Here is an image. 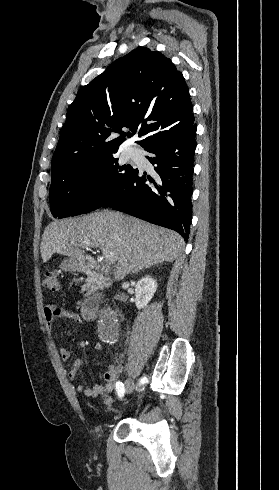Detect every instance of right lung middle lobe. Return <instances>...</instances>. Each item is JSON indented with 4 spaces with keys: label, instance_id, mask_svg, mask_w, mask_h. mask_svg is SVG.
I'll list each match as a JSON object with an SVG mask.
<instances>
[{
    "label": "right lung middle lobe",
    "instance_id": "1",
    "mask_svg": "<svg viewBox=\"0 0 279 490\" xmlns=\"http://www.w3.org/2000/svg\"><path fill=\"white\" fill-rule=\"evenodd\" d=\"M116 150L79 165L69 174L52 179L49 198L52 215L64 218L89 213L104 205L139 171L121 165Z\"/></svg>",
    "mask_w": 279,
    "mask_h": 490
}]
</instances>
